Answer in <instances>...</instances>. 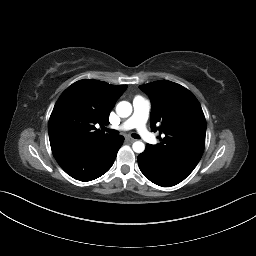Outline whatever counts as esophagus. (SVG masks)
<instances>
[{
    "label": "esophagus",
    "mask_w": 256,
    "mask_h": 256,
    "mask_svg": "<svg viewBox=\"0 0 256 256\" xmlns=\"http://www.w3.org/2000/svg\"><path fill=\"white\" fill-rule=\"evenodd\" d=\"M126 141L129 142V143H133L135 141V139L128 137V138H126Z\"/></svg>",
    "instance_id": "esophagus-1"
}]
</instances>
